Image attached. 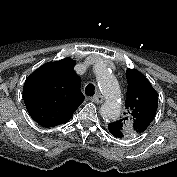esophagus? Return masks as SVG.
Returning <instances> with one entry per match:
<instances>
[{"label": "esophagus", "instance_id": "obj_1", "mask_svg": "<svg viewBox=\"0 0 177 177\" xmlns=\"http://www.w3.org/2000/svg\"><path fill=\"white\" fill-rule=\"evenodd\" d=\"M91 101L95 103H102L104 101V98L101 94H96L94 97L91 98Z\"/></svg>", "mask_w": 177, "mask_h": 177}]
</instances>
